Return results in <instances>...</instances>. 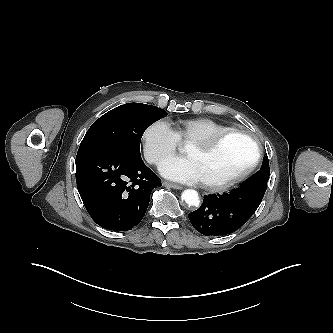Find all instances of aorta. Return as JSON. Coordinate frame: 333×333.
I'll return each mask as SVG.
<instances>
[{"label":"aorta","instance_id":"1","mask_svg":"<svg viewBox=\"0 0 333 333\" xmlns=\"http://www.w3.org/2000/svg\"><path fill=\"white\" fill-rule=\"evenodd\" d=\"M182 200L189 206H199L200 200L198 192L193 189H186L182 192Z\"/></svg>","mask_w":333,"mask_h":333}]
</instances>
